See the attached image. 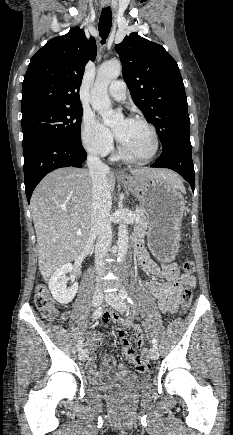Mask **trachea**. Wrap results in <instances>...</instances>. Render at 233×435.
Returning <instances> with one entry per match:
<instances>
[{
  "mask_svg": "<svg viewBox=\"0 0 233 435\" xmlns=\"http://www.w3.org/2000/svg\"><path fill=\"white\" fill-rule=\"evenodd\" d=\"M112 23V11L110 7H105L102 9L101 16L99 19V34L102 38L101 43L105 44L106 39L110 33Z\"/></svg>",
  "mask_w": 233,
  "mask_h": 435,
  "instance_id": "1",
  "label": "trachea"
}]
</instances>
